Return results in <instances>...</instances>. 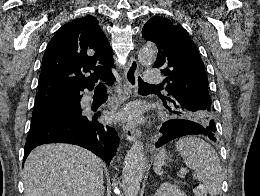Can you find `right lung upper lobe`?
<instances>
[{"instance_id": "obj_1", "label": "right lung upper lobe", "mask_w": 260, "mask_h": 196, "mask_svg": "<svg viewBox=\"0 0 260 196\" xmlns=\"http://www.w3.org/2000/svg\"><path fill=\"white\" fill-rule=\"evenodd\" d=\"M113 51L94 16L63 25L43 56L35 107L80 95L102 79H111Z\"/></svg>"}]
</instances>
